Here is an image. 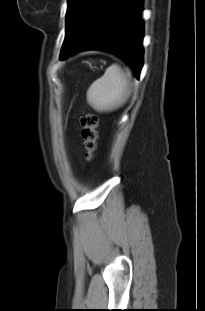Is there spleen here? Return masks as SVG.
I'll return each mask as SVG.
<instances>
[{"mask_svg": "<svg viewBox=\"0 0 205 311\" xmlns=\"http://www.w3.org/2000/svg\"><path fill=\"white\" fill-rule=\"evenodd\" d=\"M129 80L117 64L108 67L104 75L94 81L87 91L88 103L98 111L112 110L124 103Z\"/></svg>", "mask_w": 205, "mask_h": 311, "instance_id": "3e777b00", "label": "spleen"}]
</instances>
